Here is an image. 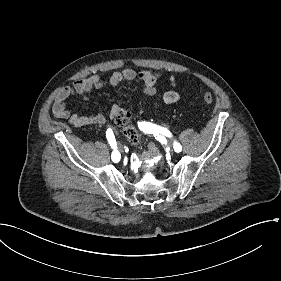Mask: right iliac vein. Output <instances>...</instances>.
Segmentation results:
<instances>
[{
    "label": "right iliac vein",
    "mask_w": 281,
    "mask_h": 281,
    "mask_svg": "<svg viewBox=\"0 0 281 281\" xmlns=\"http://www.w3.org/2000/svg\"><path fill=\"white\" fill-rule=\"evenodd\" d=\"M118 150L120 151V152H123V147H122V145H118Z\"/></svg>",
    "instance_id": "63e3f726"
}]
</instances>
